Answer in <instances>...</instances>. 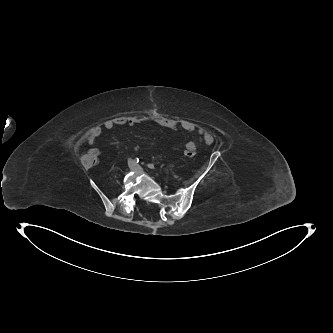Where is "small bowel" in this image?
I'll use <instances>...</instances> for the list:
<instances>
[{
    "mask_svg": "<svg viewBox=\"0 0 333 333\" xmlns=\"http://www.w3.org/2000/svg\"><path fill=\"white\" fill-rule=\"evenodd\" d=\"M142 123V120L136 117H120L112 120H107L104 122L103 126H97L94 127L88 134L87 136V141L89 144L93 145L96 140L101 136L103 128L110 130L114 128L115 126H122V125H129V126H134ZM156 123L160 125L163 128L166 129H175L177 127L182 128L186 132L190 133H196L197 134V140L202 142L203 144L209 145L213 142V137L204 129L198 127L196 124L190 122V121H181V122H176L172 119H158L156 120ZM197 142L196 140H191L186 143L185 145V150L190 149L191 151L196 150ZM93 154L96 156L99 155V150L97 148H93L91 150Z\"/></svg>",
    "mask_w": 333,
    "mask_h": 333,
    "instance_id": "small-bowel-1",
    "label": "small bowel"
}]
</instances>
